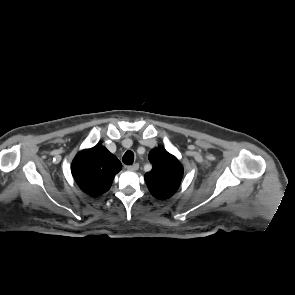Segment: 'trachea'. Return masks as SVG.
Instances as JSON below:
<instances>
[{
    "label": "trachea",
    "instance_id": "3493384b",
    "mask_svg": "<svg viewBox=\"0 0 295 295\" xmlns=\"http://www.w3.org/2000/svg\"><path fill=\"white\" fill-rule=\"evenodd\" d=\"M122 161L124 164L126 165H132L133 162H134V153L131 151V150H128L123 158H122Z\"/></svg>",
    "mask_w": 295,
    "mask_h": 295
}]
</instances>
